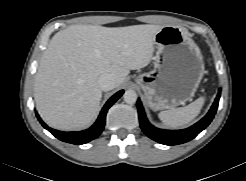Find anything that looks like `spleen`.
I'll use <instances>...</instances> for the list:
<instances>
[{
  "mask_svg": "<svg viewBox=\"0 0 246 181\" xmlns=\"http://www.w3.org/2000/svg\"><path fill=\"white\" fill-rule=\"evenodd\" d=\"M204 104V98L200 97L185 107L161 111L160 120L167 126L178 128L187 125L198 116Z\"/></svg>",
  "mask_w": 246,
  "mask_h": 181,
  "instance_id": "3e777b00",
  "label": "spleen"
}]
</instances>
